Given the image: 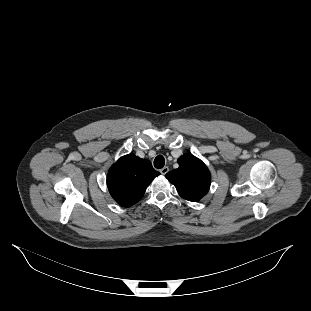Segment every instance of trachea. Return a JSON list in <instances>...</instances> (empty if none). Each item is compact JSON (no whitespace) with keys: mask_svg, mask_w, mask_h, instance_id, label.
I'll use <instances>...</instances> for the list:
<instances>
[{"mask_svg":"<svg viewBox=\"0 0 311 311\" xmlns=\"http://www.w3.org/2000/svg\"><path fill=\"white\" fill-rule=\"evenodd\" d=\"M165 165V159L162 155H158L155 159H154V167L157 169H161L163 168Z\"/></svg>","mask_w":311,"mask_h":311,"instance_id":"trachea-1","label":"trachea"}]
</instances>
